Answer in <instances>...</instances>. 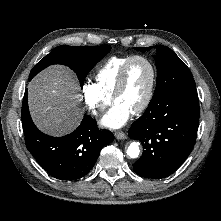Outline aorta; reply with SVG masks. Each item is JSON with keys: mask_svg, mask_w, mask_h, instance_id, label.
I'll return each mask as SVG.
<instances>
[{"mask_svg": "<svg viewBox=\"0 0 221 221\" xmlns=\"http://www.w3.org/2000/svg\"><path fill=\"white\" fill-rule=\"evenodd\" d=\"M139 153V144L137 142H132L127 148V155L131 158H137Z\"/></svg>", "mask_w": 221, "mask_h": 221, "instance_id": "aorta-1", "label": "aorta"}]
</instances>
